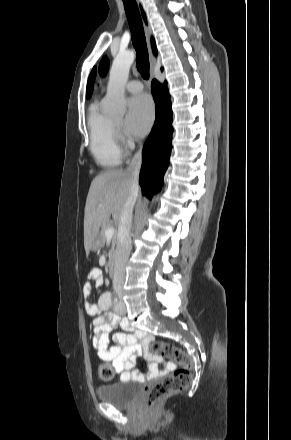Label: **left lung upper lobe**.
<instances>
[{"label": "left lung upper lobe", "mask_w": 291, "mask_h": 440, "mask_svg": "<svg viewBox=\"0 0 291 440\" xmlns=\"http://www.w3.org/2000/svg\"><path fill=\"white\" fill-rule=\"evenodd\" d=\"M109 62L107 60V57H104L99 65V72L101 76H105L107 68H108Z\"/></svg>", "instance_id": "5c2ea615"}]
</instances>
